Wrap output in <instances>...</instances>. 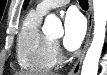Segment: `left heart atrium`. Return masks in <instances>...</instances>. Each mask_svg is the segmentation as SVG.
Listing matches in <instances>:
<instances>
[{
  "label": "left heart atrium",
  "mask_w": 107,
  "mask_h": 75,
  "mask_svg": "<svg viewBox=\"0 0 107 75\" xmlns=\"http://www.w3.org/2000/svg\"><path fill=\"white\" fill-rule=\"evenodd\" d=\"M86 33V24L83 17L76 11H69L64 20V47L74 51L80 47Z\"/></svg>",
  "instance_id": "1"
}]
</instances>
